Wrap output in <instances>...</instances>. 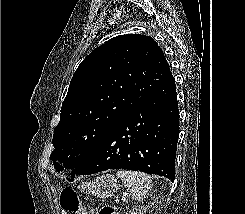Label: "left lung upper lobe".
I'll list each match as a JSON object with an SVG mask.
<instances>
[{
  "label": "left lung upper lobe",
  "instance_id": "obj_1",
  "mask_svg": "<svg viewBox=\"0 0 245 214\" xmlns=\"http://www.w3.org/2000/svg\"><path fill=\"white\" fill-rule=\"evenodd\" d=\"M170 76L164 53L150 36L120 35L94 49L73 74L62 103L50 155L56 170L78 167L124 116Z\"/></svg>",
  "mask_w": 245,
  "mask_h": 214
}]
</instances>
